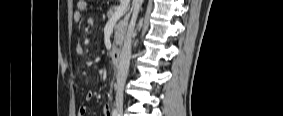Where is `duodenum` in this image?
Here are the masks:
<instances>
[{
  "label": "duodenum",
  "instance_id": "obj_1",
  "mask_svg": "<svg viewBox=\"0 0 283 116\" xmlns=\"http://www.w3.org/2000/svg\"><path fill=\"white\" fill-rule=\"evenodd\" d=\"M120 57H121V54H120V51H119V50H114V51L112 52L111 60H112V63H113L116 67L119 66ZM113 85H114V84H113Z\"/></svg>",
  "mask_w": 283,
  "mask_h": 116
}]
</instances>
